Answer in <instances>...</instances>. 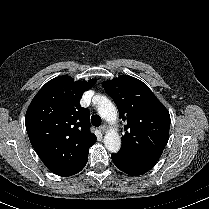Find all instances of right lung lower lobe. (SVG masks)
I'll return each mask as SVG.
<instances>
[{
  "instance_id": "obj_1",
  "label": "right lung lower lobe",
  "mask_w": 209,
  "mask_h": 209,
  "mask_svg": "<svg viewBox=\"0 0 209 209\" xmlns=\"http://www.w3.org/2000/svg\"><path fill=\"white\" fill-rule=\"evenodd\" d=\"M88 160V155L83 159V161L74 169L72 170L67 176H71L80 172L86 165Z\"/></svg>"
}]
</instances>
